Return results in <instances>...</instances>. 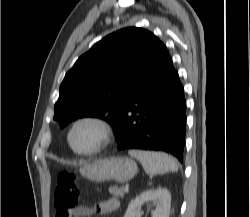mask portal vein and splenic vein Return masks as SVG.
Here are the masks:
<instances>
[{"instance_id":"18ae733b","label":"portal vein and splenic vein","mask_w":250,"mask_h":217,"mask_svg":"<svg viewBox=\"0 0 250 217\" xmlns=\"http://www.w3.org/2000/svg\"><path fill=\"white\" fill-rule=\"evenodd\" d=\"M124 190H125V192H128V190H129V186H128V185H126V186H125V188H124Z\"/></svg>"}]
</instances>
